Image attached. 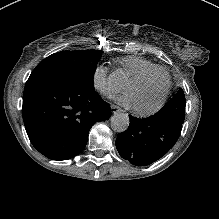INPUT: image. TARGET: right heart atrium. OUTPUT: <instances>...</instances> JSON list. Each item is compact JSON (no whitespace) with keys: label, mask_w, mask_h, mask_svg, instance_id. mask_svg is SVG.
I'll return each mask as SVG.
<instances>
[{"label":"right heart atrium","mask_w":219,"mask_h":219,"mask_svg":"<svg viewBox=\"0 0 219 219\" xmlns=\"http://www.w3.org/2000/svg\"><path fill=\"white\" fill-rule=\"evenodd\" d=\"M94 81L95 85L106 95H114L122 90L119 77L114 73H110L108 68L103 65L96 68Z\"/></svg>","instance_id":"1"}]
</instances>
